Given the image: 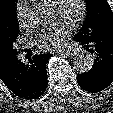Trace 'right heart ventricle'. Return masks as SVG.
Segmentation results:
<instances>
[{"instance_id": "e07e8e85", "label": "right heart ventricle", "mask_w": 113, "mask_h": 113, "mask_svg": "<svg viewBox=\"0 0 113 113\" xmlns=\"http://www.w3.org/2000/svg\"><path fill=\"white\" fill-rule=\"evenodd\" d=\"M40 1L49 6H54L55 3L57 2V0H40Z\"/></svg>"}]
</instances>
